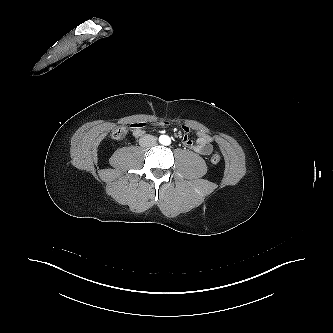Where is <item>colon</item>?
<instances>
[{
  "mask_svg": "<svg viewBox=\"0 0 333 333\" xmlns=\"http://www.w3.org/2000/svg\"><path fill=\"white\" fill-rule=\"evenodd\" d=\"M127 133H128L127 128L124 126H120L113 131L112 136L114 139L120 140V139H123L127 135ZM210 160H211V163L218 164L221 161V156L217 151H215L212 154Z\"/></svg>",
  "mask_w": 333,
  "mask_h": 333,
  "instance_id": "obj_1",
  "label": "colon"
}]
</instances>
